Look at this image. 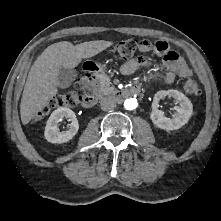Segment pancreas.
<instances>
[{"label":"pancreas","instance_id":"pancreas-1","mask_svg":"<svg viewBox=\"0 0 221 221\" xmlns=\"http://www.w3.org/2000/svg\"><path fill=\"white\" fill-rule=\"evenodd\" d=\"M114 88L111 86V82L109 77L102 75L100 78V86H99V92L100 93H106L112 91Z\"/></svg>","mask_w":221,"mask_h":221}]
</instances>
